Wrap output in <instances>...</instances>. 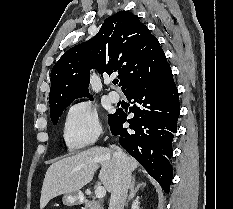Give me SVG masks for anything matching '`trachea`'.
Here are the masks:
<instances>
[{
    "label": "trachea",
    "mask_w": 233,
    "mask_h": 209,
    "mask_svg": "<svg viewBox=\"0 0 233 209\" xmlns=\"http://www.w3.org/2000/svg\"><path fill=\"white\" fill-rule=\"evenodd\" d=\"M118 82H119V80H114V81H113V84L116 85V84H118Z\"/></svg>",
    "instance_id": "obj_1"
}]
</instances>
